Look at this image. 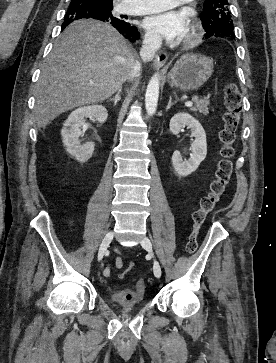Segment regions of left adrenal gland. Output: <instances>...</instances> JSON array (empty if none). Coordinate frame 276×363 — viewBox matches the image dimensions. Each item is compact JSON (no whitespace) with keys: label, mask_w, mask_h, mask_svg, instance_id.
Returning <instances> with one entry per match:
<instances>
[{"label":"left adrenal gland","mask_w":276,"mask_h":363,"mask_svg":"<svg viewBox=\"0 0 276 363\" xmlns=\"http://www.w3.org/2000/svg\"><path fill=\"white\" fill-rule=\"evenodd\" d=\"M175 104H176V101L172 102V97L170 96L166 111H168L171 108V106L175 105Z\"/></svg>","instance_id":"1"}]
</instances>
